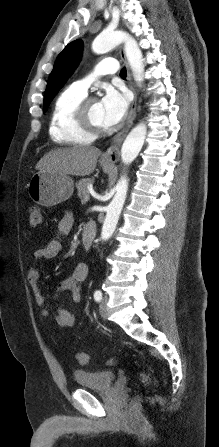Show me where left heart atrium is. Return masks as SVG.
Segmentation results:
<instances>
[{"label": "left heart atrium", "instance_id": "39dd6f15", "mask_svg": "<svg viewBox=\"0 0 219 447\" xmlns=\"http://www.w3.org/2000/svg\"><path fill=\"white\" fill-rule=\"evenodd\" d=\"M103 123L113 126L119 123L127 113L129 101L126 94L114 89H108L102 98Z\"/></svg>", "mask_w": 219, "mask_h": 447}]
</instances>
